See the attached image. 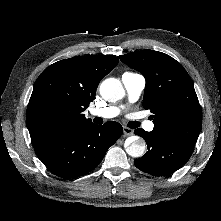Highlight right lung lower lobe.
Listing matches in <instances>:
<instances>
[{
  "instance_id": "right-lung-lower-lobe-1",
  "label": "right lung lower lobe",
  "mask_w": 221,
  "mask_h": 221,
  "mask_svg": "<svg viewBox=\"0 0 221 221\" xmlns=\"http://www.w3.org/2000/svg\"><path fill=\"white\" fill-rule=\"evenodd\" d=\"M122 133V126L114 121L102 126L89 123L56 131L33 146L50 172L76 178L96 168Z\"/></svg>"
}]
</instances>
